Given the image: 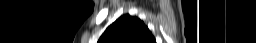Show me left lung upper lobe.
<instances>
[{
	"label": "left lung upper lobe",
	"instance_id": "1",
	"mask_svg": "<svg viewBox=\"0 0 256 43\" xmlns=\"http://www.w3.org/2000/svg\"><path fill=\"white\" fill-rule=\"evenodd\" d=\"M98 43H156V41L143 21L126 14L106 29Z\"/></svg>",
	"mask_w": 256,
	"mask_h": 43
}]
</instances>
